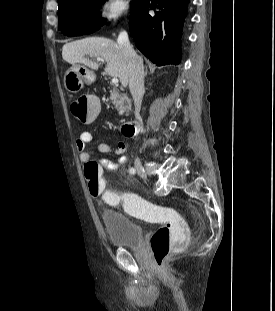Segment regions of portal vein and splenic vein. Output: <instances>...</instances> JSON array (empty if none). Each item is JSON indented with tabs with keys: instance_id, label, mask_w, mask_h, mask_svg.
Wrapping results in <instances>:
<instances>
[{
	"instance_id": "1",
	"label": "portal vein and splenic vein",
	"mask_w": 275,
	"mask_h": 311,
	"mask_svg": "<svg viewBox=\"0 0 275 311\" xmlns=\"http://www.w3.org/2000/svg\"><path fill=\"white\" fill-rule=\"evenodd\" d=\"M97 61H103V60H102V58L98 57ZM111 83L114 84V85H117L118 84V78L117 77H113L112 80H111Z\"/></svg>"
}]
</instances>
